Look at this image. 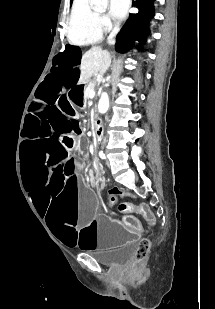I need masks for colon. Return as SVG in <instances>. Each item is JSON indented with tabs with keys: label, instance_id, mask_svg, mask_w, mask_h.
I'll return each mask as SVG.
<instances>
[{
	"label": "colon",
	"instance_id": "5ec220e1",
	"mask_svg": "<svg viewBox=\"0 0 215 309\" xmlns=\"http://www.w3.org/2000/svg\"><path fill=\"white\" fill-rule=\"evenodd\" d=\"M116 201V192L112 191L109 194V203L113 205ZM150 249V242L148 239H141L137 244L136 258L138 261H143L147 258Z\"/></svg>",
	"mask_w": 215,
	"mask_h": 309
}]
</instances>
